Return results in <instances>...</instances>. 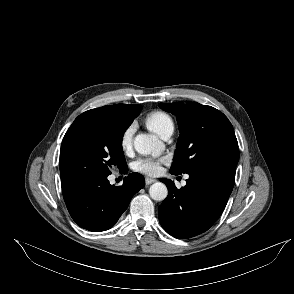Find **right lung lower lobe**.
<instances>
[{
    "label": "right lung lower lobe",
    "mask_w": 294,
    "mask_h": 294,
    "mask_svg": "<svg viewBox=\"0 0 294 294\" xmlns=\"http://www.w3.org/2000/svg\"><path fill=\"white\" fill-rule=\"evenodd\" d=\"M63 198L73 220L89 231L110 229L127 209L131 198L145 186L144 177L131 173L122 186L111 185L107 176L62 182Z\"/></svg>",
    "instance_id": "right-lung-lower-lobe-1"
}]
</instances>
